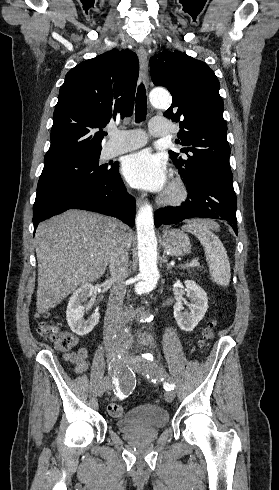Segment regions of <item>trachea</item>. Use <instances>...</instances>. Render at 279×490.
<instances>
[{"mask_svg": "<svg viewBox=\"0 0 279 490\" xmlns=\"http://www.w3.org/2000/svg\"><path fill=\"white\" fill-rule=\"evenodd\" d=\"M147 103H146V90L143 83H141L137 90L136 95V110L135 120L137 123L143 122L146 118Z\"/></svg>", "mask_w": 279, "mask_h": 490, "instance_id": "trachea-1", "label": "trachea"}]
</instances>
